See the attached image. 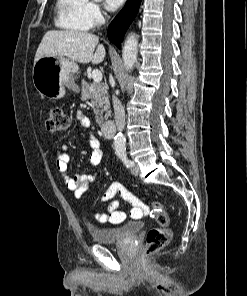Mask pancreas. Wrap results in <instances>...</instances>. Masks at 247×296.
<instances>
[{
    "mask_svg": "<svg viewBox=\"0 0 247 296\" xmlns=\"http://www.w3.org/2000/svg\"><path fill=\"white\" fill-rule=\"evenodd\" d=\"M81 84L82 99H91L94 106L95 120L100 125L110 116L111 112L107 87L99 83H87L85 80H82Z\"/></svg>",
    "mask_w": 247,
    "mask_h": 296,
    "instance_id": "cf45deb5",
    "label": "pancreas"
}]
</instances>
